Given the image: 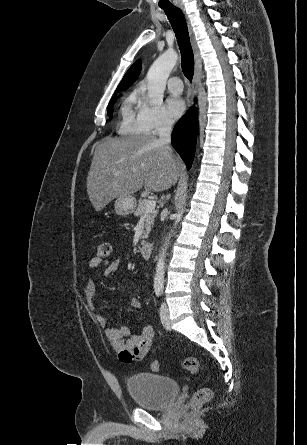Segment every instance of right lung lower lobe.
<instances>
[{
	"label": "right lung lower lobe",
	"instance_id": "obj_1",
	"mask_svg": "<svg viewBox=\"0 0 307 445\" xmlns=\"http://www.w3.org/2000/svg\"><path fill=\"white\" fill-rule=\"evenodd\" d=\"M197 127L196 109L191 108L175 125L171 136L172 145L187 168L191 167L194 158Z\"/></svg>",
	"mask_w": 307,
	"mask_h": 445
}]
</instances>
